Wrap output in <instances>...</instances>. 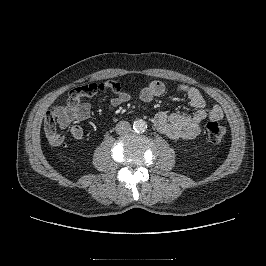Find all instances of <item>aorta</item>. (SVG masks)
Here are the masks:
<instances>
[{
	"mask_svg": "<svg viewBox=\"0 0 266 266\" xmlns=\"http://www.w3.org/2000/svg\"><path fill=\"white\" fill-rule=\"evenodd\" d=\"M133 129L135 132H144L147 129V124L144 120L138 119L133 123Z\"/></svg>",
	"mask_w": 266,
	"mask_h": 266,
	"instance_id": "762f6f07",
	"label": "aorta"
}]
</instances>
